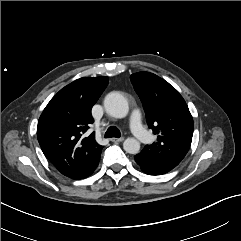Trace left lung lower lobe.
Instances as JSON below:
<instances>
[{
	"instance_id": "0a47b994",
	"label": "left lung lower lobe",
	"mask_w": 241,
	"mask_h": 241,
	"mask_svg": "<svg viewBox=\"0 0 241 241\" xmlns=\"http://www.w3.org/2000/svg\"><path fill=\"white\" fill-rule=\"evenodd\" d=\"M141 170L150 175H162L170 171L164 167H141Z\"/></svg>"
}]
</instances>
